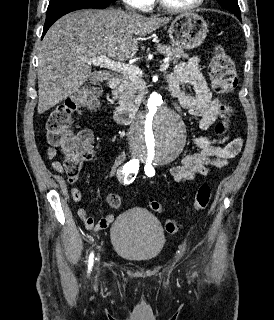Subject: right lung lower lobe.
Masks as SVG:
<instances>
[{"label": "right lung lower lobe", "mask_w": 274, "mask_h": 320, "mask_svg": "<svg viewBox=\"0 0 274 320\" xmlns=\"http://www.w3.org/2000/svg\"><path fill=\"white\" fill-rule=\"evenodd\" d=\"M111 3L112 2L80 3V4H74V5L65 6L63 8H60V9L54 10V11H52L50 13H47L46 21H45V25H44V30H43V34H42V38L46 34V32L49 29V27L56 20H58L60 17H62L63 15H65V14H67L69 12H72V11L80 10V9H87V8L105 9Z\"/></svg>", "instance_id": "right-lung-lower-lobe-1"}]
</instances>
